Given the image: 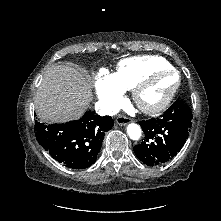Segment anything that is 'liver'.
<instances>
[{"instance_id":"liver-1","label":"liver","mask_w":221,"mask_h":221,"mask_svg":"<svg viewBox=\"0 0 221 221\" xmlns=\"http://www.w3.org/2000/svg\"><path fill=\"white\" fill-rule=\"evenodd\" d=\"M93 99L87 76L70 64L51 67L43 77L34 97L38 118L62 123L78 119Z\"/></svg>"}]
</instances>
